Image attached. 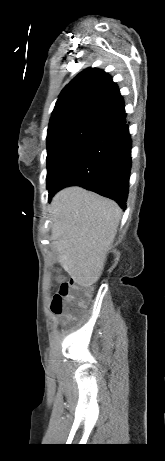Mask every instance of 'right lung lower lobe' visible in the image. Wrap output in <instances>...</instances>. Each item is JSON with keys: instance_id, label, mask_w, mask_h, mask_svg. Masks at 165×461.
<instances>
[{"instance_id": "1", "label": "right lung lower lobe", "mask_w": 165, "mask_h": 461, "mask_svg": "<svg viewBox=\"0 0 165 461\" xmlns=\"http://www.w3.org/2000/svg\"><path fill=\"white\" fill-rule=\"evenodd\" d=\"M125 111L94 131L47 186L48 200L67 186H81L126 208L131 170V138Z\"/></svg>"}]
</instances>
